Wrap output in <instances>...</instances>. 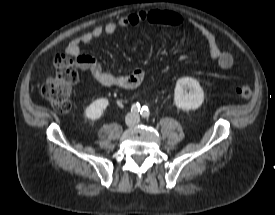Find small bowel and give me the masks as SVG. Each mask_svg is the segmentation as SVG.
Masks as SVG:
<instances>
[{
  "label": "small bowel",
  "instance_id": "c3829d8e",
  "mask_svg": "<svg viewBox=\"0 0 275 215\" xmlns=\"http://www.w3.org/2000/svg\"><path fill=\"white\" fill-rule=\"evenodd\" d=\"M162 26H183L199 32L207 41L209 55L222 70H229L233 66L230 53L222 50L215 36L204 26L171 10H148L121 17L115 21L99 25L72 40L65 49V54L72 58L76 68L89 73L99 84L107 87L135 88L145 79V72L140 67H134L129 73H111L105 71L100 63L91 55L81 53L82 45L92 42L103 35H110L119 29L135 27L139 24Z\"/></svg>",
  "mask_w": 275,
  "mask_h": 215
}]
</instances>
